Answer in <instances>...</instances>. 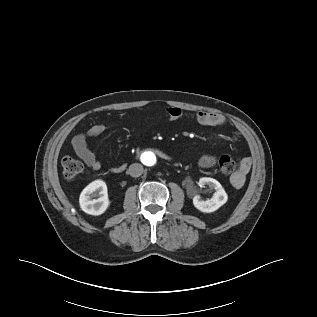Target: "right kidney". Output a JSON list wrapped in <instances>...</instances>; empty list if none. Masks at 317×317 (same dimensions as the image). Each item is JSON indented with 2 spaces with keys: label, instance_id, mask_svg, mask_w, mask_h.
<instances>
[{
  "label": "right kidney",
  "instance_id": "ca27d5eb",
  "mask_svg": "<svg viewBox=\"0 0 317 317\" xmlns=\"http://www.w3.org/2000/svg\"><path fill=\"white\" fill-rule=\"evenodd\" d=\"M99 198L94 197L98 196ZM110 201L106 183L103 180H95L87 185L80 194L79 205L81 209L90 215H101L109 207Z\"/></svg>",
  "mask_w": 317,
  "mask_h": 317
}]
</instances>
